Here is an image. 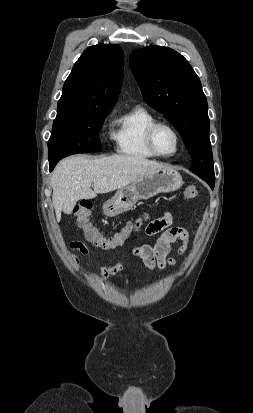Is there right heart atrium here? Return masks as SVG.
Listing matches in <instances>:
<instances>
[{
  "label": "right heart atrium",
  "mask_w": 253,
  "mask_h": 413,
  "mask_svg": "<svg viewBox=\"0 0 253 413\" xmlns=\"http://www.w3.org/2000/svg\"><path fill=\"white\" fill-rule=\"evenodd\" d=\"M104 126H107V124H106V123H104Z\"/></svg>",
  "instance_id": "right-heart-atrium-1"
}]
</instances>
